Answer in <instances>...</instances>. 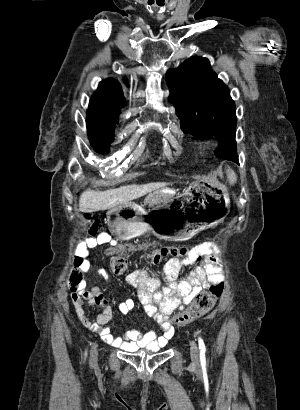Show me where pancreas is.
<instances>
[{
    "instance_id": "obj_1",
    "label": "pancreas",
    "mask_w": 300,
    "mask_h": 410,
    "mask_svg": "<svg viewBox=\"0 0 300 410\" xmlns=\"http://www.w3.org/2000/svg\"><path fill=\"white\" fill-rule=\"evenodd\" d=\"M170 198H172V196L170 194H166V193H162L160 192V196L158 198V202H166L168 201ZM148 203V202H146Z\"/></svg>"
}]
</instances>
